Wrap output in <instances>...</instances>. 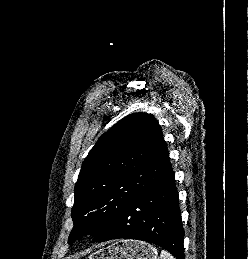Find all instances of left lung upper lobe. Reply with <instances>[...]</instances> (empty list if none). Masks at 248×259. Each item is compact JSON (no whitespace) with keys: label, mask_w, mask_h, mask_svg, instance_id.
Wrapping results in <instances>:
<instances>
[{"label":"left lung upper lobe","mask_w":248,"mask_h":259,"mask_svg":"<svg viewBox=\"0 0 248 259\" xmlns=\"http://www.w3.org/2000/svg\"><path fill=\"white\" fill-rule=\"evenodd\" d=\"M158 121L147 113L126 116L105 132L85 158L75 185L69 236H96L171 167Z\"/></svg>","instance_id":"5c2ea615"}]
</instances>
